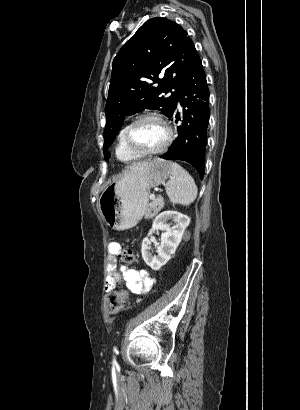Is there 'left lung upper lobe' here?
Returning a JSON list of instances; mask_svg holds the SVG:
<instances>
[{"mask_svg": "<svg viewBox=\"0 0 300 410\" xmlns=\"http://www.w3.org/2000/svg\"><path fill=\"white\" fill-rule=\"evenodd\" d=\"M197 56L187 32L161 17L145 22L125 43L113 60L105 106V159L125 116L146 108L172 115L177 90ZM172 89L171 96L162 95Z\"/></svg>", "mask_w": 300, "mask_h": 410, "instance_id": "left-lung-upper-lobe-1", "label": "left lung upper lobe"}]
</instances>
